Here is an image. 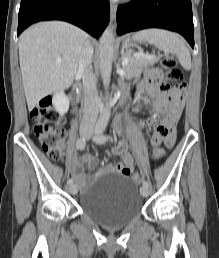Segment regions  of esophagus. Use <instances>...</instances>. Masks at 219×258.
Instances as JSON below:
<instances>
[{
  "mask_svg": "<svg viewBox=\"0 0 219 258\" xmlns=\"http://www.w3.org/2000/svg\"><path fill=\"white\" fill-rule=\"evenodd\" d=\"M116 12H117V5L115 4V2H112L111 6H110V19H111V22L114 21V19L116 17ZM112 27L114 28L113 24H112Z\"/></svg>",
  "mask_w": 219,
  "mask_h": 258,
  "instance_id": "esophagus-1",
  "label": "esophagus"
}]
</instances>
